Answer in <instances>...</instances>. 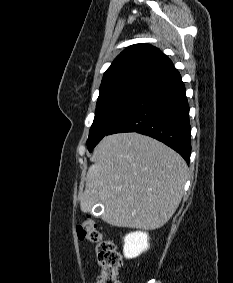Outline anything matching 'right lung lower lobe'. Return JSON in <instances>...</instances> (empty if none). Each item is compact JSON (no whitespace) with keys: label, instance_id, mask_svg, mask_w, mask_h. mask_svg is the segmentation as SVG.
<instances>
[{"label":"right lung lower lobe","instance_id":"1","mask_svg":"<svg viewBox=\"0 0 233 283\" xmlns=\"http://www.w3.org/2000/svg\"><path fill=\"white\" fill-rule=\"evenodd\" d=\"M190 131L185 86L174 68L150 81L107 135L120 132L148 135L177 151L189 164Z\"/></svg>","mask_w":233,"mask_h":283}]
</instances>
